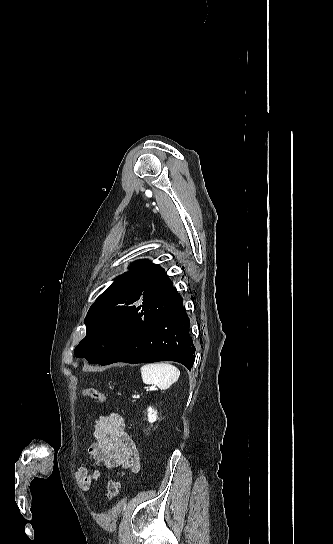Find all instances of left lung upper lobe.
I'll use <instances>...</instances> for the list:
<instances>
[{"instance_id": "left-lung-upper-lobe-1", "label": "left lung upper lobe", "mask_w": 333, "mask_h": 544, "mask_svg": "<svg viewBox=\"0 0 333 544\" xmlns=\"http://www.w3.org/2000/svg\"><path fill=\"white\" fill-rule=\"evenodd\" d=\"M180 298L162 268L148 260L135 261L91 306L85 318L87 335L75 348V356L98 363L101 353L94 334L105 321L115 318L134 325L154 321Z\"/></svg>"}]
</instances>
